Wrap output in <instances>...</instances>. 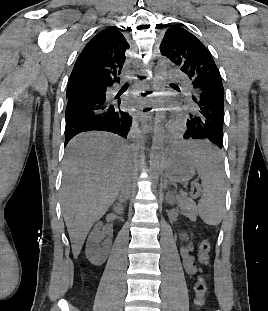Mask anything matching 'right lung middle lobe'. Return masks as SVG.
<instances>
[{
    "label": "right lung middle lobe",
    "instance_id": "obj_1",
    "mask_svg": "<svg viewBox=\"0 0 268 311\" xmlns=\"http://www.w3.org/2000/svg\"><path fill=\"white\" fill-rule=\"evenodd\" d=\"M72 93L81 95H101L103 94V88L91 84H77L71 88H67L66 96L68 97Z\"/></svg>",
    "mask_w": 268,
    "mask_h": 311
}]
</instances>
